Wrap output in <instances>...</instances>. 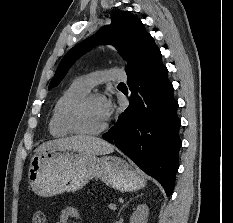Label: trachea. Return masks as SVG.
<instances>
[{
	"label": "trachea",
	"mask_w": 233,
	"mask_h": 223,
	"mask_svg": "<svg viewBox=\"0 0 233 223\" xmlns=\"http://www.w3.org/2000/svg\"><path fill=\"white\" fill-rule=\"evenodd\" d=\"M119 85H125L124 83H119Z\"/></svg>",
	"instance_id": "trachea-1"
}]
</instances>
